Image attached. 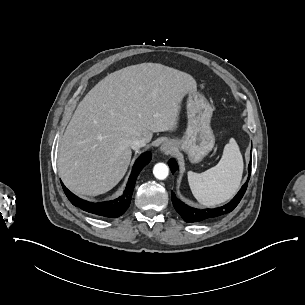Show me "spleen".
<instances>
[{
	"label": "spleen",
	"instance_id": "obj_1",
	"mask_svg": "<svg viewBox=\"0 0 305 305\" xmlns=\"http://www.w3.org/2000/svg\"><path fill=\"white\" fill-rule=\"evenodd\" d=\"M243 169L242 157L234 139L225 144L218 164L204 172H188V181L195 198L213 206L232 197L238 190Z\"/></svg>",
	"mask_w": 305,
	"mask_h": 305
}]
</instances>
